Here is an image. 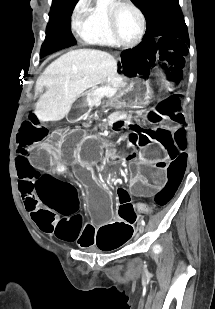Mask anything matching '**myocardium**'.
<instances>
[{
  "mask_svg": "<svg viewBox=\"0 0 215 309\" xmlns=\"http://www.w3.org/2000/svg\"><path fill=\"white\" fill-rule=\"evenodd\" d=\"M120 9H127L131 11L135 16L136 32L134 37L130 41H127L125 38L119 39V33L116 31V29L118 28V20L115 19L116 17L114 15V12ZM105 14L107 17H109L110 20L109 24L111 25V28L109 30H111V37H114L115 39L114 44L111 45L119 48H132L140 42L144 33V18L142 13L135 6L129 4L110 6V9H105Z\"/></svg>",
  "mask_w": 215,
  "mask_h": 309,
  "instance_id": "f54148a6",
  "label": "myocardium"
}]
</instances>
